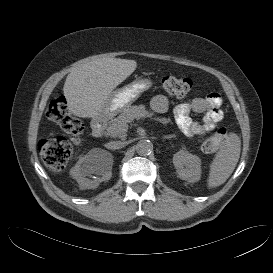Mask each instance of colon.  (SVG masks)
<instances>
[{
  "label": "colon",
  "mask_w": 273,
  "mask_h": 273,
  "mask_svg": "<svg viewBox=\"0 0 273 273\" xmlns=\"http://www.w3.org/2000/svg\"><path fill=\"white\" fill-rule=\"evenodd\" d=\"M193 82L186 77L165 76L162 79V88L171 97H183L192 89ZM47 115L50 120L57 123L71 138L57 137L44 139L39 142V154L45 165L54 172L62 171L67 165L72 151L73 144L78 142L83 132L82 123L68 112L65 97L60 96L49 104ZM227 137V131L220 128L207 137L202 150L213 152L219 149Z\"/></svg>",
  "instance_id": "colon-1"
}]
</instances>
